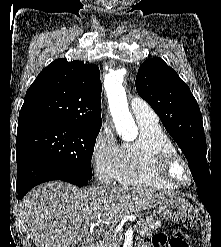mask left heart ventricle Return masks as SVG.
Segmentation results:
<instances>
[{
  "mask_svg": "<svg viewBox=\"0 0 221 247\" xmlns=\"http://www.w3.org/2000/svg\"><path fill=\"white\" fill-rule=\"evenodd\" d=\"M177 176H179L180 178L184 179V173H183V170L180 166H177L176 167V170H175Z\"/></svg>",
  "mask_w": 221,
  "mask_h": 247,
  "instance_id": "b2bd125f",
  "label": "left heart ventricle"
}]
</instances>
